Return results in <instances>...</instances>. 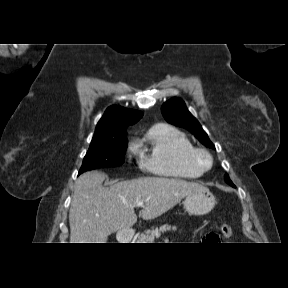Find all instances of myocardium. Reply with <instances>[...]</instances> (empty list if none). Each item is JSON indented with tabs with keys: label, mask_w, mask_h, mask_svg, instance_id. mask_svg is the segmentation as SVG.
Listing matches in <instances>:
<instances>
[{
	"label": "myocardium",
	"mask_w": 288,
	"mask_h": 288,
	"mask_svg": "<svg viewBox=\"0 0 288 288\" xmlns=\"http://www.w3.org/2000/svg\"><path fill=\"white\" fill-rule=\"evenodd\" d=\"M192 164L202 171H208L213 167L214 160L211 153L203 148H194L190 154Z\"/></svg>",
	"instance_id": "1"
}]
</instances>
